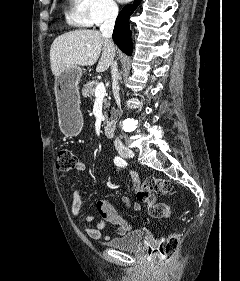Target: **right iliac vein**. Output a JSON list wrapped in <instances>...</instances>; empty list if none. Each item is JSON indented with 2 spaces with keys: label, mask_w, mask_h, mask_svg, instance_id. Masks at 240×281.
I'll return each instance as SVG.
<instances>
[{
  "label": "right iliac vein",
  "mask_w": 240,
  "mask_h": 281,
  "mask_svg": "<svg viewBox=\"0 0 240 281\" xmlns=\"http://www.w3.org/2000/svg\"><path fill=\"white\" fill-rule=\"evenodd\" d=\"M118 152L120 153V155L126 158H133L135 155L131 149L124 146L118 147Z\"/></svg>",
  "instance_id": "63e3f726"
}]
</instances>
